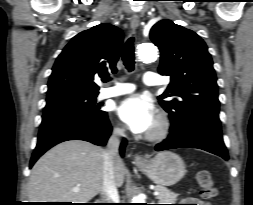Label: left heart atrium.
Here are the masks:
<instances>
[{
	"instance_id": "1",
	"label": "left heart atrium",
	"mask_w": 253,
	"mask_h": 205,
	"mask_svg": "<svg viewBox=\"0 0 253 205\" xmlns=\"http://www.w3.org/2000/svg\"><path fill=\"white\" fill-rule=\"evenodd\" d=\"M117 115L133 133L137 134L151 131L157 121L154 105L140 95L124 99L117 107Z\"/></svg>"
}]
</instances>
